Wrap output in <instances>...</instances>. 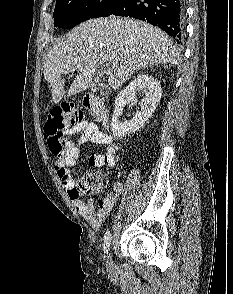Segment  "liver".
<instances>
[{"mask_svg": "<svg viewBox=\"0 0 233 294\" xmlns=\"http://www.w3.org/2000/svg\"><path fill=\"white\" fill-rule=\"evenodd\" d=\"M161 63L178 65L180 56L159 28L128 18H99L81 23L57 41L44 61V79L57 104L66 93V73L79 71L67 93L70 97L88 89L103 65L114 66L108 83L117 89L136 71Z\"/></svg>", "mask_w": 233, "mask_h": 294, "instance_id": "liver-1", "label": "liver"}]
</instances>
